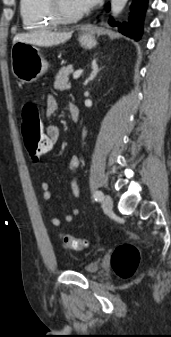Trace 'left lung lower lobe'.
<instances>
[{"instance_id":"left-lung-lower-lobe-1","label":"left lung lower lobe","mask_w":171,"mask_h":337,"mask_svg":"<svg viewBox=\"0 0 171 337\" xmlns=\"http://www.w3.org/2000/svg\"><path fill=\"white\" fill-rule=\"evenodd\" d=\"M147 6V0H134L132 4V10L130 13V20L128 23L123 24L115 22L112 18L109 20V24L113 27L118 26L119 32L129 36L133 39L139 40L142 33V23L144 12ZM109 5L107 11H109Z\"/></svg>"}]
</instances>
